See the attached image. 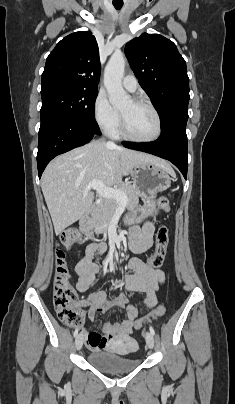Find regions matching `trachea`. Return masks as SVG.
<instances>
[{
    "label": "trachea",
    "instance_id": "1",
    "mask_svg": "<svg viewBox=\"0 0 235 404\" xmlns=\"http://www.w3.org/2000/svg\"><path fill=\"white\" fill-rule=\"evenodd\" d=\"M122 6H123V4H114V7L116 8V9H121L122 8Z\"/></svg>",
    "mask_w": 235,
    "mask_h": 404
}]
</instances>
